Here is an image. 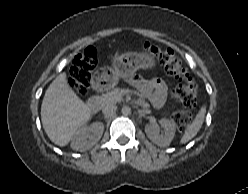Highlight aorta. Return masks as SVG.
I'll return each mask as SVG.
<instances>
[{"label": "aorta", "mask_w": 248, "mask_h": 194, "mask_svg": "<svg viewBox=\"0 0 248 194\" xmlns=\"http://www.w3.org/2000/svg\"><path fill=\"white\" fill-rule=\"evenodd\" d=\"M121 112L123 115H130L131 114V108L129 106L125 105L122 107Z\"/></svg>", "instance_id": "aorta-1"}]
</instances>
